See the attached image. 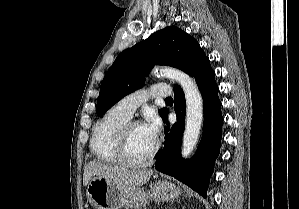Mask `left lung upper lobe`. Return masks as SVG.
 Masks as SVG:
<instances>
[{"instance_id":"1","label":"left lung upper lobe","mask_w":299,"mask_h":209,"mask_svg":"<svg viewBox=\"0 0 299 209\" xmlns=\"http://www.w3.org/2000/svg\"><path fill=\"white\" fill-rule=\"evenodd\" d=\"M207 59L198 42L175 26L153 33L121 52L109 68L101 83L97 115L101 116L124 96L139 89L144 84L145 73L154 65L173 66L193 76ZM167 111L161 109V117Z\"/></svg>"}]
</instances>
